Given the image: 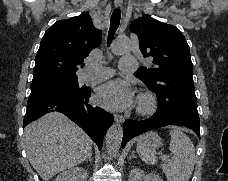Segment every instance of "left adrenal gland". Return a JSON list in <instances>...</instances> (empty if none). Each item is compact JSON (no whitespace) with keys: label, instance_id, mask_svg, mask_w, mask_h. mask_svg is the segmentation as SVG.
<instances>
[{"label":"left adrenal gland","instance_id":"1","mask_svg":"<svg viewBox=\"0 0 228 181\" xmlns=\"http://www.w3.org/2000/svg\"><path fill=\"white\" fill-rule=\"evenodd\" d=\"M132 157H133V159H137V157H135L134 153H132V155H130L128 161H131Z\"/></svg>","mask_w":228,"mask_h":181}]
</instances>
